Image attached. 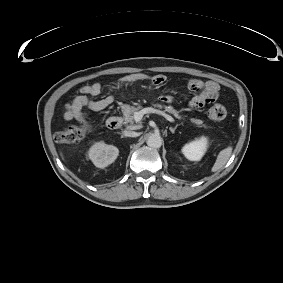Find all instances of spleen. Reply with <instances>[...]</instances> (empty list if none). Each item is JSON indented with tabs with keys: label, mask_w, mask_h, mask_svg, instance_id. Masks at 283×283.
<instances>
[{
	"label": "spleen",
	"mask_w": 283,
	"mask_h": 283,
	"mask_svg": "<svg viewBox=\"0 0 283 283\" xmlns=\"http://www.w3.org/2000/svg\"><path fill=\"white\" fill-rule=\"evenodd\" d=\"M232 146H228L227 148L221 150L217 156V159L211 169L212 172H216L221 169L229 160L232 154Z\"/></svg>",
	"instance_id": "spleen-1"
}]
</instances>
